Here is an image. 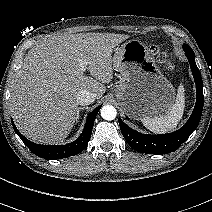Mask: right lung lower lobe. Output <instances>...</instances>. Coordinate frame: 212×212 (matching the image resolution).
<instances>
[{
    "instance_id": "obj_1",
    "label": "right lung lower lobe",
    "mask_w": 212,
    "mask_h": 212,
    "mask_svg": "<svg viewBox=\"0 0 212 212\" xmlns=\"http://www.w3.org/2000/svg\"><path fill=\"white\" fill-rule=\"evenodd\" d=\"M101 106L93 110L86 120L83 132L75 141L66 145H39L31 142L24 137L16 128L12 121L13 128L16 134L21 138L24 144L37 156L45 159H62L80 153L88 144L90 139L94 121Z\"/></svg>"
}]
</instances>
